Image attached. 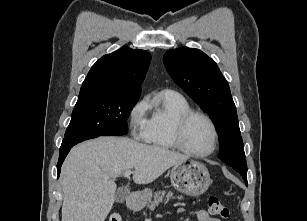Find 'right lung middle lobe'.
Returning <instances> with one entry per match:
<instances>
[{"label":"right lung middle lobe","mask_w":307,"mask_h":221,"mask_svg":"<svg viewBox=\"0 0 307 221\" xmlns=\"http://www.w3.org/2000/svg\"><path fill=\"white\" fill-rule=\"evenodd\" d=\"M139 96L116 94L78 101L73 109L60 152L98 136L127 134V119Z\"/></svg>","instance_id":"1"}]
</instances>
